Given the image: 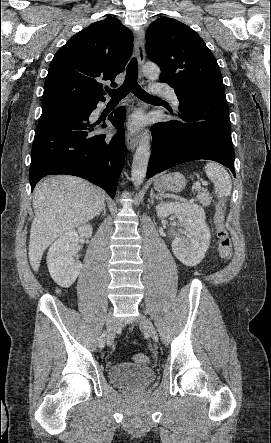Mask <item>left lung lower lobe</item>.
<instances>
[{"mask_svg":"<svg viewBox=\"0 0 271 443\" xmlns=\"http://www.w3.org/2000/svg\"><path fill=\"white\" fill-rule=\"evenodd\" d=\"M160 81L171 85L167 79L160 78ZM174 90L180 102L177 116L183 122H160L151 127L153 146L146 177L197 159L217 161L228 167L235 177L225 95L190 86Z\"/></svg>","mask_w":271,"mask_h":443,"instance_id":"obj_1","label":"left lung lower lobe"}]
</instances>
